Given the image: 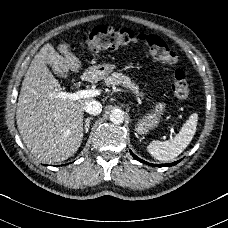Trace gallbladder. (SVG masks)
<instances>
[{
	"instance_id": "obj_1",
	"label": "gallbladder",
	"mask_w": 228,
	"mask_h": 228,
	"mask_svg": "<svg viewBox=\"0 0 228 228\" xmlns=\"http://www.w3.org/2000/svg\"><path fill=\"white\" fill-rule=\"evenodd\" d=\"M50 66H51V65H50ZM52 70H53L54 74H55V75H57L58 77H62V78H64V77H66V76H67V74H62V73H60V72L56 71V70H55V69H53V68H52Z\"/></svg>"
}]
</instances>
